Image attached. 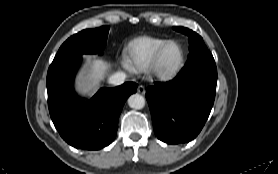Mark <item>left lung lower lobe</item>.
I'll use <instances>...</instances> for the list:
<instances>
[{
    "label": "left lung lower lobe",
    "mask_w": 278,
    "mask_h": 174,
    "mask_svg": "<svg viewBox=\"0 0 278 174\" xmlns=\"http://www.w3.org/2000/svg\"><path fill=\"white\" fill-rule=\"evenodd\" d=\"M216 84L217 72L196 69L150 86L146 99L158 138L168 144L193 140L210 114Z\"/></svg>",
    "instance_id": "obj_1"
}]
</instances>
